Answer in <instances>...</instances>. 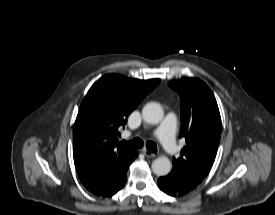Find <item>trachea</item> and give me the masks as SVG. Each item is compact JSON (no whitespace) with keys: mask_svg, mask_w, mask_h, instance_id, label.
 Wrapping results in <instances>:
<instances>
[{"mask_svg":"<svg viewBox=\"0 0 275 215\" xmlns=\"http://www.w3.org/2000/svg\"><path fill=\"white\" fill-rule=\"evenodd\" d=\"M125 143L132 148H142L143 144H144L140 138H134V139H132L128 142H125ZM146 148L152 153H157V146L152 141H148L146 143Z\"/></svg>","mask_w":275,"mask_h":215,"instance_id":"1","label":"trachea"}]
</instances>
